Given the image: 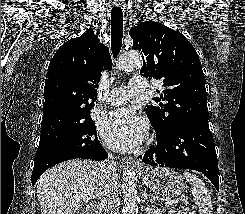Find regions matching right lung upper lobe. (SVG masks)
Returning a JSON list of instances; mask_svg holds the SVG:
<instances>
[{
	"label": "right lung upper lobe",
	"mask_w": 245,
	"mask_h": 214,
	"mask_svg": "<svg viewBox=\"0 0 245 214\" xmlns=\"http://www.w3.org/2000/svg\"><path fill=\"white\" fill-rule=\"evenodd\" d=\"M109 49L92 29L64 43L53 56L45 79L41 130L56 128L90 113L103 70H110Z\"/></svg>",
	"instance_id": "cb5924a9"
}]
</instances>
